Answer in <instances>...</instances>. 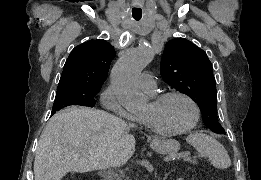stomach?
<instances>
[{"label": "stomach", "mask_w": 261, "mask_h": 180, "mask_svg": "<svg viewBox=\"0 0 261 180\" xmlns=\"http://www.w3.org/2000/svg\"><path fill=\"white\" fill-rule=\"evenodd\" d=\"M150 146L155 152L165 155L175 154L180 149L179 142L173 139H154Z\"/></svg>", "instance_id": "1"}]
</instances>
